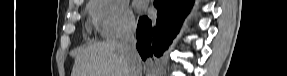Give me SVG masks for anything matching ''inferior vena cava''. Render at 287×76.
I'll use <instances>...</instances> for the list:
<instances>
[{"mask_svg": "<svg viewBox=\"0 0 287 76\" xmlns=\"http://www.w3.org/2000/svg\"><path fill=\"white\" fill-rule=\"evenodd\" d=\"M136 23L129 22L124 28L120 43L129 64V76H142L141 58L136 49Z\"/></svg>", "mask_w": 287, "mask_h": 76, "instance_id": "obj_1", "label": "inferior vena cava"}]
</instances>
